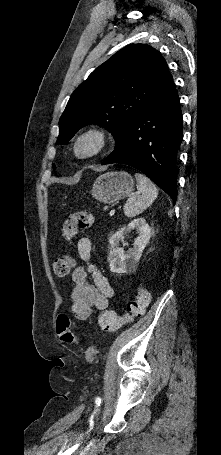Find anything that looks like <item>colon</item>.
<instances>
[{
    "instance_id": "5ec220e1",
    "label": "colon",
    "mask_w": 221,
    "mask_h": 455,
    "mask_svg": "<svg viewBox=\"0 0 221 455\" xmlns=\"http://www.w3.org/2000/svg\"><path fill=\"white\" fill-rule=\"evenodd\" d=\"M93 223V215L82 211L72 214L63 224V238L70 242L79 230L89 228ZM75 267L74 258L71 255L57 257L53 263V269L58 276H67ZM151 300L150 292L146 288H139L134 298L127 304L123 314L112 310H105L99 315V324L104 331L115 332L129 323L132 318L141 316ZM56 331L62 341L75 343L76 337L72 330L71 319L66 314H60L56 322Z\"/></svg>"
}]
</instances>
